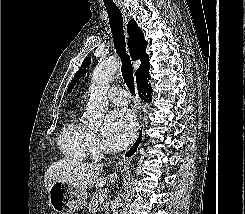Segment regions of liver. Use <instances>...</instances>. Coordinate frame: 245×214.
Instances as JSON below:
<instances>
[{"instance_id":"1","label":"liver","mask_w":245,"mask_h":214,"mask_svg":"<svg viewBox=\"0 0 245 214\" xmlns=\"http://www.w3.org/2000/svg\"><path fill=\"white\" fill-rule=\"evenodd\" d=\"M102 171L103 166L99 164L81 163L66 158L60 159L55 161L45 172V188L49 191L55 181L81 189H87L93 185L100 188L108 185V182L114 183L117 174L113 173L107 177H99Z\"/></svg>"}]
</instances>
